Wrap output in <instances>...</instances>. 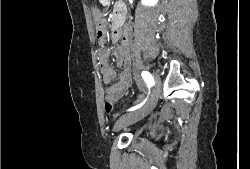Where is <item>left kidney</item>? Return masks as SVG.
<instances>
[{
    "label": "left kidney",
    "mask_w": 250,
    "mask_h": 169,
    "mask_svg": "<svg viewBox=\"0 0 250 169\" xmlns=\"http://www.w3.org/2000/svg\"><path fill=\"white\" fill-rule=\"evenodd\" d=\"M141 2L144 4V6H155L158 0H141Z\"/></svg>",
    "instance_id": "5707ae66"
}]
</instances>
